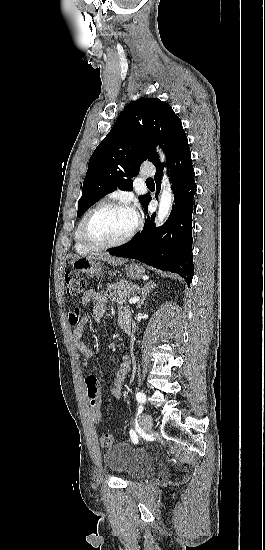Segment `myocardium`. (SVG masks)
I'll return each mask as SVG.
<instances>
[{"label": "myocardium", "mask_w": 265, "mask_h": 550, "mask_svg": "<svg viewBox=\"0 0 265 550\" xmlns=\"http://www.w3.org/2000/svg\"><path fill=\"white\" fill-rule=\"evenodd\" d=\"M110 208L126 209V210L132 211V208L129 205H127L126 203L122 202V201H106V202L99 203L98 205H96L95 207L90 209L86 213V215L83 217V219L81 220V223H80V226H79L80 240L86 247H88L90 249H93V250H104V249L119 247L121 245H124V244L128 243L136 235V233L139 231V229L141 227V221L137 217L135 226L133 227V229L125 237H123V238H121L117 241L109 242V243H99L97 241L92 240L87 234V226H88L89 221L97 213H99L103 210H106V209H110Z\"/></svg>", "instance_id": "myocardium-1"}]
</instances>
